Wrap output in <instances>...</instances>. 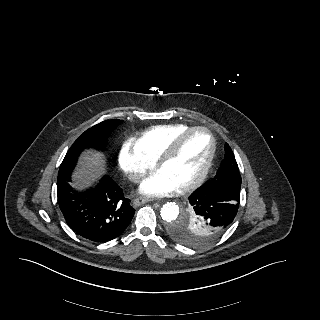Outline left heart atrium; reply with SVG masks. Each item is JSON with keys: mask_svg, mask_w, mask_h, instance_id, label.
<instances>
[{"mask_svg": "<svg viewBox=\"0 0 320 320\" xmlns=\"http://www.w3.org/2000/svg\"><path fill=\"white\" fill-rule=\"evenodd\" d=\"M178 188V185L164 173L157 171L142 182L140 192L147 196L159 197L169 195L178 190Z\"/></svg>", "mask_w": 320, "mask_h": 320, "instance_id": "1", "label": "left heart atrium"}]
</instances>
